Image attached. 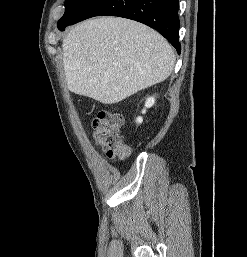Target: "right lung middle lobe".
Here are the masks:
<instances>
[{
  "label": "right lung middle lobe",
  "instance_id": "right-lung-middle-lobe-1",
  "mask_svg": "<svg viewBox=\"0 0 247 257\" xmlns=\"http://www.w3.org/2000/svg\"><path fill=\"white\" fill-rule=\"evenodd\" d=\"M93 0H66L65 13L58 21L57 27H61L75 20Z\"/></svg>",
  "mask_w": 247,
  "mask_h": 257
}]
</instances>
